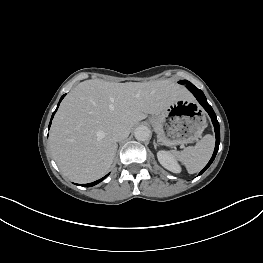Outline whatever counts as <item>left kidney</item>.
I'll use <instances>...</instances> for the list:
<instances>
[{
  "mask_svg": "<svg viewBox=\"0 0 263 263\" xmlns=\"http://www.w3.org/2000/svg\"><path fill=\"white\" fill-rule=\"evenodd\" d=\"M157 158L159 163L167 170L173 173H180L181 167L178 164L176 158L168 151H158Z\"/></svg>",
  "mask_w": 263,
  "mask_h": 263,
  "instance_id": "obj_1",
  "label": "left kidney"
}]
</instances>
